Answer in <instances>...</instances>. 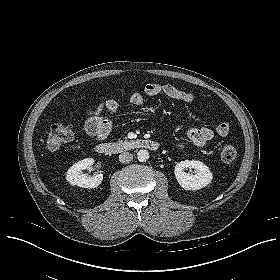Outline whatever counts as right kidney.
<instances>
[{"label":"right kidney","mask_w":280,"mask_h":280,"mask_svg":"<svg viewBox=\"0 0 280 280\" xmlns=\"http://www.w3.org/2000/svg\"><path fill=\"white\" fill-rule=\"evenodd\" d=\"M94 160L92 158H86L75 164H73L66 173V180L72 184L81 188H96L102 180L103 174H97L95 176H88L83 173V170L93 165Z\"/></svg>","instance_id":"ca27d5eb"}]
</instances>
